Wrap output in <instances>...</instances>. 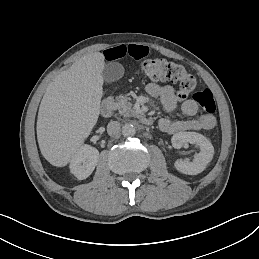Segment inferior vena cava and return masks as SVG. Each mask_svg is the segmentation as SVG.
<instances>
[{
  "label": "inferior vena cava",
  "mask_w": 259,
  "mask_h": 259,
  "mask_svg": "<svg viewBox=\"0 0 259 259\" xmlns=\"http://www.w3.org/2000/svg\"><path fill=\"white\" fill-rule=\"evenodd\" d=\"M107 132L114 138H119L121 135V125L118 121H111L108 123Z\"/></svg>",
  "instance_id": "obj_1"
}]
</instances>
